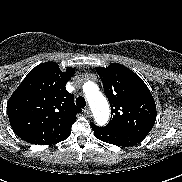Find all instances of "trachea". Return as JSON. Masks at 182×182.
I'll return each instance as SVG.
<instances>
[{"label":"trachea","instance_id":"1","mask_svg":"<svg viewBox=\"0 0 182 182\" xmlns=\"http://www.w3.org/2000/svg\"><path fill=\"white\" fill-rule=\"evenodd\" d=\"M76 105L80 108H85L86 106V101L82 96H79L76 98Z\"/></svg>","mask_w":182,"mask_h":182}]
</instances>
